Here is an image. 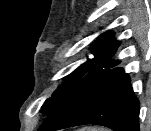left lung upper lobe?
<instances>
[{"label":"left lung upper lobe","instance_id":"left-lung-upper-lobe-1","mask_svg":"<svg viewBox=\"0 0 151 131\" xmlns=\"http://www.w3.org/2000/svg\"><path fill=\"white\" fill-rule=\"evenodd\" d=\"M119 45L120 42L114 39L112 33H105L98 37V42H96L91 49L94 58L88 59L84 64L79 66L70 75V77L57 88L53 95L44 102L41 107V112L47 116L53 110H55L63 101L69 89L80 79L82 74L89 68H93L94 66L107 68L115 66L118 62L110 64V58L115 54ZM97 60H100L101 62L95 65V62Z\"/></svg>","mask_w":151,"mask_h":131}]
</instances>
